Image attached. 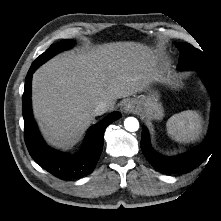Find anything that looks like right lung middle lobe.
I'll use <instances>...</instances> for the list:
<instances>
[{
    "instance_id": "dd1d6c3e",
    "label": "right lung middle lobe",
    "mask_w": 221,
    "mask_h": 221,
    "mask_svg": "<svg viewBox=\"0 0 221 221\" xmlns=\"http://www.w3.org/2000/svg\"><path fill=\"white\" fill-rule=\"evenodd\" d=\"M73 41L70 39H64L59 43L53 44L47 49L43 54H41L34 62L33 65H37L38 67L50 59L55 54L59 53L64 49H68L71 47Z\"/></svg>"
}]
</instances>
